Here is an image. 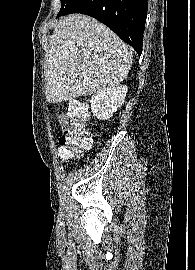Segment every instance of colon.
<instances>
[{
  "instance_id": "5ec220e1",
  "label": "colon",
  "mask_w": 195,
  "mask_h": 270,
  "mask_svg": "<svg viewBox=\"0 0 195 270\" xmlns=\"http://www.w3.org/2000/svg\"><path fill=\"white\" fill-rule=\"evenodd\" d=\"M57 118L63 131L58 153L62 159L68 160L91 143L88 110L84 103L74 100L66 111L58 112Z\"/></svg>"
}]
</instances>
